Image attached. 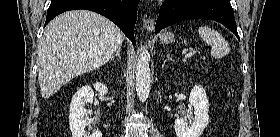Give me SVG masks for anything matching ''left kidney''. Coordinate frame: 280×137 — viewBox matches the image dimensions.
Masks as SVG:
<instances>
[{
	"mask_svg": "<svg viewBox=\"0 0 280 137\" xmlns=\"http://www.w3.org/2000/svg\"><path fill=\"white\" fill-rule=\"evenodd\" d=\"M189 102L194 107L193 121L188 124L187 117L177 118L174 125L177 137H200L209 123V102L202 86L193 87Z\"/></svg>",
	"mask_w": 280,
	"mask_h": 137,
	"instance_id": "obj_1",
	"label": "left kidney"
}]
</instances>
